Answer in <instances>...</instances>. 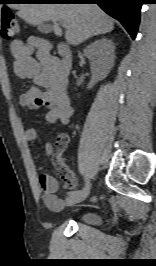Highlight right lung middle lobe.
I'll list each match as a JSON object with an SVG mask.
<instances>
[{
  "label": "right lung middle lobe",
  "instance_id": "1",
  "mask_svg": "<svg viewBox=\"0 0 156 266\" xmlns=\"http://www.w3.org/2000/svg\"><path fill=\"white\" fill-rule=\"evenodd\" d=\"M4 0H1L0 2H3ZM23 2H25V1H28V0H22Z\"/></svg>",
  "mask_w": 156,
  "mask_h": 266
}]
</instances>
